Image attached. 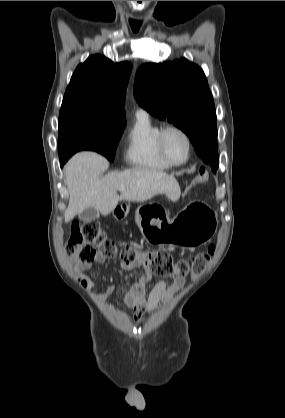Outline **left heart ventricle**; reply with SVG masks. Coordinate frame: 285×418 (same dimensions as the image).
I'll return each mask as SVG.
<instances>
[{
    "label": "left heart ventricle",
    "mask_w": 285,
    "mask_h": 418,
    "mask_svg": "<svg viewBox=\"0 0 285 418\" xmlns=\"http://www.w3.org/2000/svg\"><path fill=\"white\" fill-rule=\"evenodd\" d=\"M164 146L172 161L180 162L186 157V142L179 133L175 131L168 132L164 138Z\"/></svg>",
    "instance_id": "obj_1"
}]
</instances>
